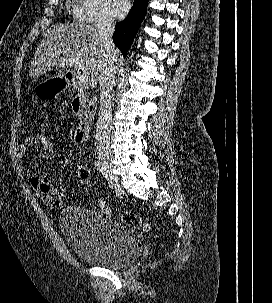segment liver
<instances>
[{
  "instance_id": "1",
  "label": "liver",
  "mask_w": 272,
  "mask_h": 303,
  "mask_svg": "<svg viewBox=\"0 0 272 303\" xmlns=\"http://www.w3.org/2000/svg\"><path fill=\"white\" fill-rule=\"evenodd\" d=\"M119 51L114 47V56ZM76 60L77 63L66 62ZM63 61L65 63L63 64ZM104 61V46L96 25L83 23L53 25L44 34L31 61L30 76L34 79L53 68L63 70L57 77H65L74 67L89 77L91 87L99 81Z\"/></svg>"
}]
</instances>
